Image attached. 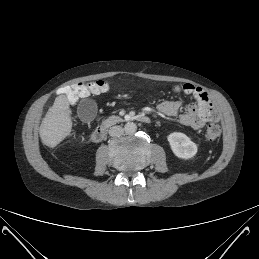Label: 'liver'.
Segmentation results:
<instances>
[{
  "mask_svg": "<svg viewBox=\"0 0 259 259\" xmlns=\"http://www.w3.org/2000/svg\"><path fill=\"white\" fill-rule=\"evenodd\" d=\"M72 119L70 106L65 95L55 98L39 128L41 141L44 145L54 148L71 132Z\"/></svg>",
  "mask_w": 259,
  "mask_h": 259,
  "instance_id": "6515ba94",
  "label": "liver"
}]
</instances>
